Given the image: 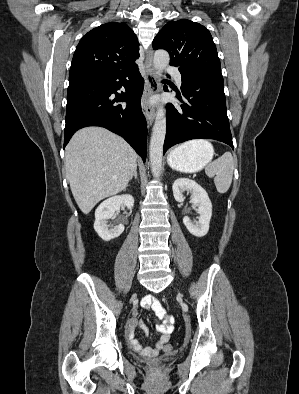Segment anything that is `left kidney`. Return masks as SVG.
<instances>
[{
	"label": "left kidney",
	"instance_id": "5707ae66",
	"mask_svg": "<svg viewBox=\"0 0 299 394\" xmlns=\"http://www.w3.org/2000/svg\"><path fill=\"white\" fill-rule=\"evenodd\" d=\"M173 195L177 202H183L185 191L191 193V202L198 205V221L192 222L188 216L183 218L187 230L196 237H203L208 233L212 216V203L207 192L198 183L191 179H176L172 186Z\"/></svg>",
	"mask_w": 299,
	"mask_h": 394
}]
</instances>
